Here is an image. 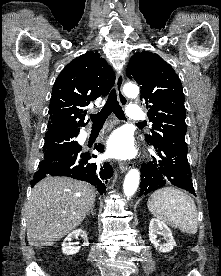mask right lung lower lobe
Masks as SVG:
<instances>
[{
  "instance_id": "right-lung-lower-lobe-1",
  "label": "right lung lower lobe",
  "mask_w": 221,
  "mask_h": 276,
  "mask_svg": "<svg viewBox=\"0 0 221 276\" xmlns=\"http://www.w3.org/2000/svg\"><path fill=\"white\" fill-rule=\"evenodd\" d=\"M99 152H103V145L94 147ZM91 155L88 152H81V147L69 153L51 156L43 159L39 163V170L31 180L32 187L47 174L57 176H68L86 181L95 185L102 194L106 190L107 179L113 174V169L109 163L96 164L88 163ZM96 158V155H92Z\"/></svg>"
}]
</instances>
